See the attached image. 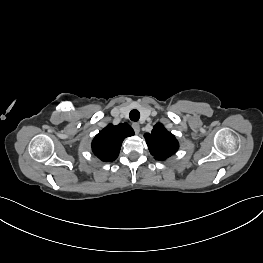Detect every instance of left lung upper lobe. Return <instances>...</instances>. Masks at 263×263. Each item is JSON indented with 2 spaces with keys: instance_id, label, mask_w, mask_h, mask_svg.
<instances>
[{
  "instance_id": "obj_1",
  "label": "left lung upper lobe",
  "mask_w": 263,
  "mask_h": 263,
  "mask_svg": "<svg viewBox=\"0 0 263 263\" xmlns=\"http://www.w3.org/2000/svg\"><path fill=\"white\" fill-rule=\"evenodd\" d=\"M151 155L157 160L172 156L179 147L175 136L168 132L161 123L154 126L151 133L144 135Z\"/></svg>"
}]
</instances>
